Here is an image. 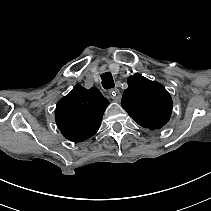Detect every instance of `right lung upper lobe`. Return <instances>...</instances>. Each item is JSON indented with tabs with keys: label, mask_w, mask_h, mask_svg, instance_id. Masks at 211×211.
Here are the masks:
<instances>
[{
	"label": "right lung upper lobe",
	"mask_w": 211,
	"mask_h": 211,
	"mask_svg": "<svg viewBox=\"0 0 211 211\" xmlns=\"http://www.w3.org/2000/svg\"><path fill=\"white\" fill-rule=\"evenodd\" d=\"M108 104L98 89L77 85L57 103L56 124L67 139L84 141L98 131Z\"/></svg>",
	"instance_id": "obj_1"
}]
</instances>
